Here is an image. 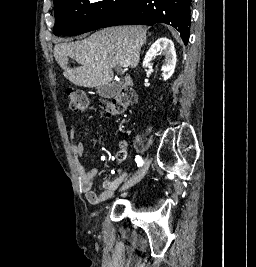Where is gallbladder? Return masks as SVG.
Segmentation results:
<instances>
[{
  "label": "gallbladder",
  "instance_id": "gallbladder-1",
  "mask_svg": "<svg viewBox=\"0 0 256 267\" xmlns=\"http://www.w3.org/2000/svg\"><path fill=\"white\" fill-rule=\"evenodd\" d=\"M122 86V82H116V84H104V86H97V94L101 96V98H114L116 94H118L120 88Z\"/></svg>",
  "mask_w": 256,
  "mask_h": 267
}]
</instances>
